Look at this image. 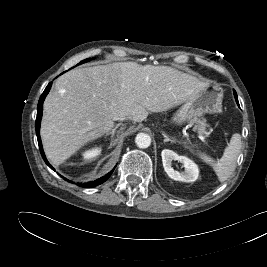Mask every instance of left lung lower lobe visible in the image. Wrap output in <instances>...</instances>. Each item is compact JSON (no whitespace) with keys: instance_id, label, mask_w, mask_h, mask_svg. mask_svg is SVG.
<instances>
[{"instance_id":"0a47b994","label":"left lung lower lobe","mask_w":267,"mask_h":267,"mask_svg":"<svg viewBox=\"0 0 267 267\" xmlns=\"http://www.w3.org/2000/svg\"><path fill=\"white\" fill-rule=\"evenodd\" d=\"M234 96H235V99H236L237 104L239 105L238 98H237V93H236L235 90H234Z\"/></svg>"}]
</instances>
